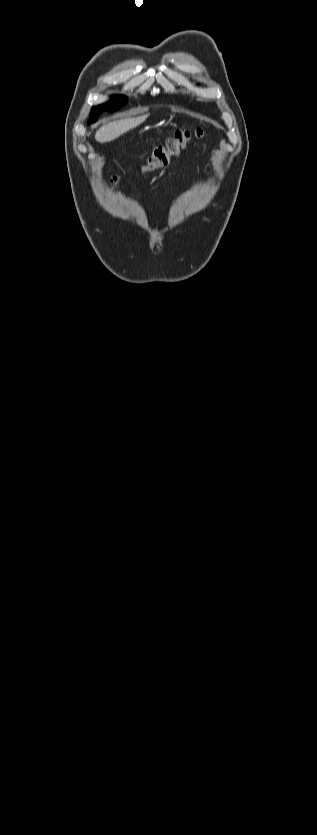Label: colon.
I'll use <instances>...</instances> for the list:
<instances>
[{"label":"colon","instance_id":"1","mask_svg":"<svg viewBox=\"0 0 317 835\" xmlns=\"http://www.w3.org/2000/svg\"><path fill=\"white\" fill-rule=\"evenodd\" d=\"M202 135L203 131L199 128L195 131H177L165 145H159L154 148L151 155L142 166V172L149 173L164 168L169 163L171 158L179 155L186 145L200 139ZM117 181L118 178L114 177L113 182L116 183Z\"/></svg>","mask_w":317,"mask_h":835}]
</instances>
